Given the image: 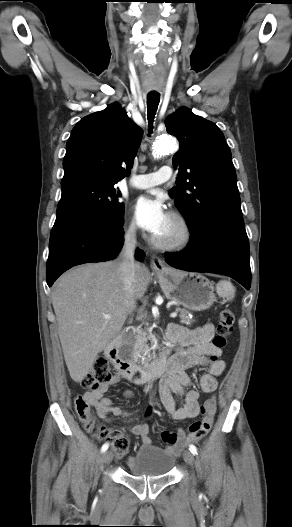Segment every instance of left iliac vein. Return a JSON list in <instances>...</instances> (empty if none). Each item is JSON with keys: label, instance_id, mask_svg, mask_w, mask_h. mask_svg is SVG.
I'll return each instance as SVG.
<instances>
[{"label": "left iliac vein", "instance_id": "obj_1", "mask_svg": "<svg viewBox=\"0 0 292 527\" xmlns=\"http://www.w3.org/2000/svg\"><path fill=\"white\" fill-rule=\"evenodd\" d=\"M183 459L189 465H193V463H194V456L189 450H185L184 451Z\"/></svg>", "mask_w": 292, "mask_h": 527}]
</instances>
